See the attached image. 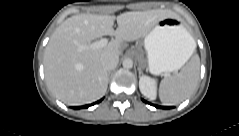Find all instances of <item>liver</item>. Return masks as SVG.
Instances as JSON below:
<instances>
[{"label":"liver","mask_w":239,"mask_h":136,"mask_svg":"<svg viewBox=\"0 0 239 136\" xmlns=\"http://www.w3.org/2000/svg\"><path fill=\"white\" fill-rule=\"evenodd\" d=\"M170 10L125 12L111 15L79 14L67 18L52 34L44 53V73L49 90L67 105H83L100 99L108 87L102 65L106 56H120L124 41L147 35ZM115 20L118 27L113 29ZM105 35L114 36L100 49H80Z\"/></svg>","instance_id":"1"}]
</instances>
